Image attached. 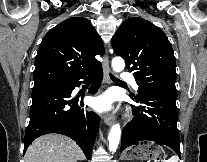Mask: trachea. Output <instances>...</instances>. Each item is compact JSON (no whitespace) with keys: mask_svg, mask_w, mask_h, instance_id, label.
Instances as JSON below:
<instances>
[{"mask_svg":"<svg viewBox=\"0 0 207 162\" xmlns=\"http://www.w3.org/2000/svg\"><path fill=\"white\" fill-rule=\"evenodd\" d=\"M110 77L113 81H116V82H120V83H123V81H121L120 79L116 78L115 76L111 75L110 74Z\"/></svg>","mask_w":207,"mask_h":162,"instance_id":"obj_1","label":"trachea"}]
</instances>
